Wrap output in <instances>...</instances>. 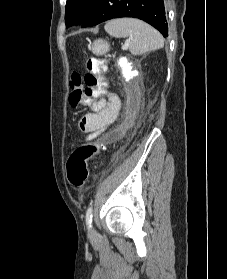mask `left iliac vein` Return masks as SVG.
Segmentation results:
<instances>
[{
    "label": "left iliac vein",
    "instance_id": "left-iliac-vein-1",
    "mask_svg": "<svg viewBox=\"0 0 227 279\" xmlns=\"http://www.w3.org/2000/svg\"><path fill=\"white\" fill-rule=\"evenodd\" d=\"M94 234H95V231L92 230L91 233H90V236L92 237Z\"/></svg>",
    "mask_w": 227,
    "mask_h": 279
}]
</instances>
